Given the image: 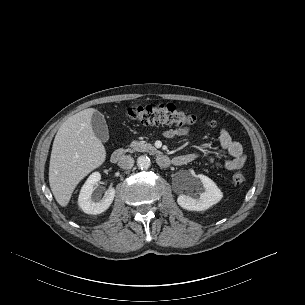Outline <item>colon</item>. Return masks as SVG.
<instances>
[{
  "label": "colon",
  "instance_id": "colon-1",
  "mask_svg": "<svg viewBox=\"0 0 305 305\" xmlns=\"http://www.w3.org/2000/svg\"><path fill=\"white\" fill-rule=\"evenodd\" d=\"M128 115L133 121L140 125L170 124L180 127L200 123L210 127L216 125L215 121L188 113L172 103L133 106L129 109ZM244 180L245 175L243 172H236L233 175V181L236 184H241Z\"/></svg>",
  "mask_w": 305,
  "mask_h": 305
}]
</instances>
